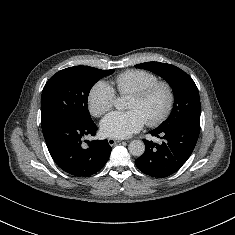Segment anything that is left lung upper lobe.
<instances>
[{"label": "left lung upper lobe", "mask_w": 235, "mask_h": 235, "mask_svg": "<svg viewBox=\"0 0 235 235\" xmlns=\"http://www.w3.org/2000/svg\"><path fill=\"white\" fill-rule=\"evenodd\" d=\"M135 67L154 72L165 79L173 89L175 102L168 119L158 130L168 129L180 124H196L200 126V98L196 84L192 78L180 68L167 63L146 62Z\"/></svg>", "instance_id": "obj_1"}]
</instances>
